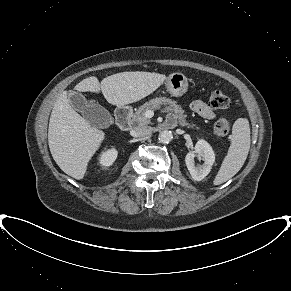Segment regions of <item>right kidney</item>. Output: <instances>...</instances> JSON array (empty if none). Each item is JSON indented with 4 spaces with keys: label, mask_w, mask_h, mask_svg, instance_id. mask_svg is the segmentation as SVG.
<instances>
[{
    "label": "right kidney",
    "mask_w": 291,
    "mask_h": 291,
    "mask_svg": "<svg viewBox=\"0 0 291 291\" xmlns=\"http://www.w3.org/2000/svg\"><path fill=\"white\" fill-rule=\"evenodd\" d=\"M117 155H118V152L114 148L104 151L99 157V162L102 166L108 167L113 164V162L117 158Z\"/></svg>",
    "instance_id": "ca27d5eb"
}]
</instances>
